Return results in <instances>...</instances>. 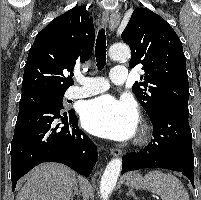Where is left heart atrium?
<instances>
[{"mask_svg":"<svg viewBox=\"0 0 201 200\" xmlns=\"http://www.w3.org/2000/svg\"><path fill=\"white\" fill-rule=\"evenodd\" d=\"M81 121L93 134L112 140H127L136 134L138 113L132 101L102 95L83 105Z\"/></svg>","mask_w":201,"mask_h":200,"instance_id":"1","label":"left heart atrium"}]
</instances>
